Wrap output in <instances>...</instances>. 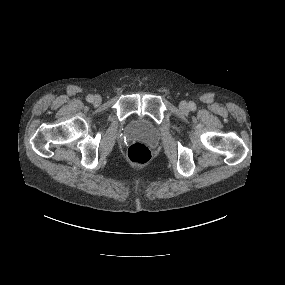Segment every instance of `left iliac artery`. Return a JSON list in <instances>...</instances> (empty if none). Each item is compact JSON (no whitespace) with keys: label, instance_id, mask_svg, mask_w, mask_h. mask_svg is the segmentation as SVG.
I'll use <instances>...</instances> for the list:
<instances>
[{"label":"left iliac artery","instance_id":"obj_1","mask_svg":"<svg viewBox=\"0 0 285 285\" xmlns=\"http://www.w3.org/2000/svg\"><path fill=\"white\" fill-rule=\"evenodd\" d=\"M189 106H190V109H191V110H195V108H196V107H195V104L192 103V102L189 104Z\"/></svg>","mask_w":285,"mask_h":285}]
</instances>
